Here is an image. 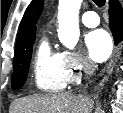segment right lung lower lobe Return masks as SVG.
<instances>
[{
    "instance_id": "obj_1",
    "label": "right lung lower lobe",
    "mask_w": 123,
    "mask_h": 113,
    "mask_svg": "<svg viewBox=\"0 0 123 113\" xmlns=\"http://www.w3.org/2000/svg\"><path fill=\"white\" fill-rule=\"evenodd\" d=\"M109 26L115 44H118L123 40V11L117 0H110L109 2Z\"/></svg>"
}]
</instances>
